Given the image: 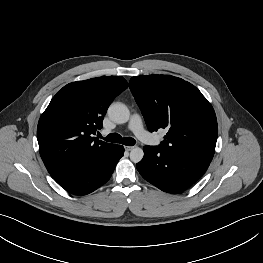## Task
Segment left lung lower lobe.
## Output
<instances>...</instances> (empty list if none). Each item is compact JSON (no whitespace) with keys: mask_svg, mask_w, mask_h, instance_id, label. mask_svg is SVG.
Instances as JSON below:
<instances>
[{"mask_svg":"<svg viewBox=\"0 0 263 263\" xmlns=\"http://www.w3.org/2000/svg\"><path fill=\"white\" fill-rule=\"evenodd\" d=\"M144 157L136 167L141 176L162 191L177 194L193 185L210 162L169 148L145 146Z\"/></svg>","mask_w":263,"mask_h":263,"instance_id":"0a47b994","label":"left lung lower lobe"}]
</instances>
